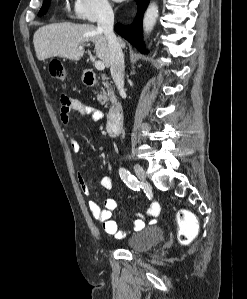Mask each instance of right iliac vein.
I'll return each instance as SVG.
<instances>
[{"instance_id":"right-iliac-vein-1","label":"right iliac vein","mask_w":247,"mask_h":299,"mask_svg":"<svg viewBox=\"0 0 247 299\" xmlns=\"http://www.w3.org/2000/svg\"><path fill=\"white\" fill-rule=\"evenodd\" d=\"M136 176L139 178L140 181L146 183V174L143 167L137 163L133 166Z\"/></svg>"}]
</instances>
